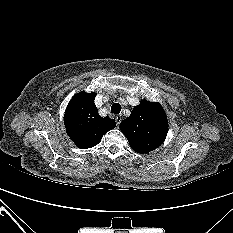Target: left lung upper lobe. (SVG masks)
<instances>
[{"instance_id": "1", "label": "left lung upper lobe", "mask_w": 233, "mask_h": 233, "mask_svg": "<svg viewBox=\"0 0 233 233\" xmlns=\"http://www.w3.org/2000/svg\"><path fill=\"white\" fill-rule=\"evenodd\" d=\"M120 130L135 152L145 154L164 142L168 132V120L158 102L142 100L131 111V115L120 123Z\"/></svg>"}]
</instances>
